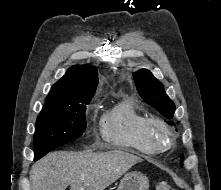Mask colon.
<instances>
[{"label": "colon", "instance_id": "5ec220e1", "mask_svg": "<svg viewBox=\"0 0 221 190\" xmlns=\"http://www.w3.org/2000/svg\"><path fill=\"white\" fill-rule=\"evenodd\" d=\"M155 190H176V189L166 181H158L156 183Z\"/></svg>", "mask_w": 221, "mask_h": 190}]
</instances>
